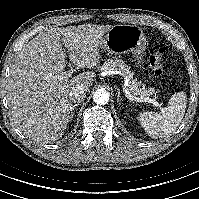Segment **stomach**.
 Wrapping results in <instances>:
<instances>
[{"instance_id":"1","label":"stomach","mask_w":199,"mask_h":199,"mask_svg":"<svg viewBox=\"0 0 199 199\" xmlns=\"http://www.w3.org/2000/svg\"><path fill=\"white\" fill-rule=\"evenodd\" d=\"M99 46L111 54L131 52L140 60L146 49V37L139 26L117 24L99 40Z\"/></svg>"}]
</instances>
